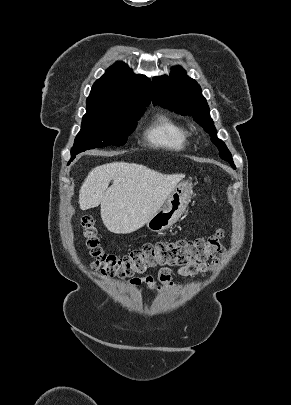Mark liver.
Listing matches in <instances>:
<instances>
[{"label":"liver","mask_w":291,"mask_h":405,"mask_svg":"<svg viewBox=\"0 0 291 405\" xmlns=\"http://www.w3.org/2000/svg\"><path fill=\"white\" fill-rule=\"evenodd\" d=\"M184 176L166 175L126 162L97 166L80 188V209L101 205V218L106 228L117 234H129L148 222ZM111 180L113 184L109 187Z\"/></svg>","instance_id":"6515ba94"}]
</instances>
